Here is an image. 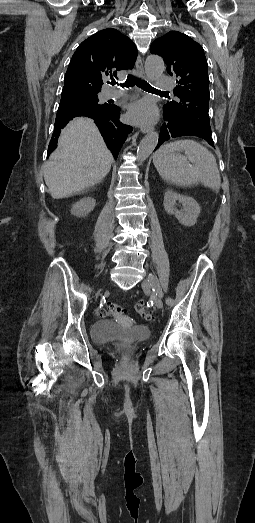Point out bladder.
<instances>
[{
    "instance_id": "bladder-1",
    "label": "bladder",
    "mask_w": 255,
    "mask_h": 523,
    "mask_svg": "<svg viewBox=\"0 0 255 523\" xmlns=\"http://www.w3.org/2000/svg\"><path fill=\"white\" fill-rule=\"evenodd\" d=\"M92 327V338L100 343H107L117 338L126 341H134L139 338L146 340L151 336V330L148 327L130 328L108 320L93 322Z\"/></svg>"
}]
</instances>
